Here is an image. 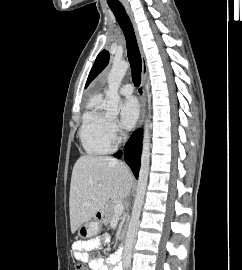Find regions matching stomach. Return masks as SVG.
Returning a JSON list of instances; mask_svg holds the SVG:
<instances>
[{
	"label": "stomach",
	"mask_w": 242,
	"mask_h": 270,
	"mask_svg": "<svg viewBox=\"0 0 242 270\" xmlns=\"http://www.w3.org/2000/svg\"><path fill=\"white\" fill-rule=\"evenodd\" d=\"M101 222H102L101 219L96 218L93 221H89L82 224L78 228V236L83 239L93 237L99 232Z\"/></svg>",
	"instance_id": "stomach-1"
}]
</instances>
